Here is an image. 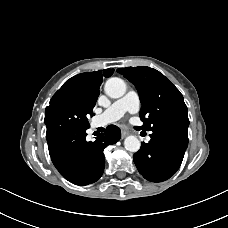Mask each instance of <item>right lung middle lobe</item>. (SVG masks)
I'll use <instances>...</instances> for the list:
<instances>
[{
	"instance_id": "1",
	"label": "right lung middle lobe",
	"mask_w": 228,
	"mask_h": 228,
	"mask_svg": "<svg viewBox=\"0 0 228 228\" xmlns=\"http://www.w3.org/2000/svg\"><path fill=\"white\" fill-rule=\"evenodd\" d=\"M93 115V107L71 94L57 91L45 110L46 138L50 139L69 130L88 129V118Z\"/></svg>"
}]
</instances>
